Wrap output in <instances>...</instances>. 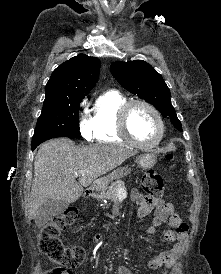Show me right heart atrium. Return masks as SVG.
<instances>
[{"instance_id": "1", "label": "right heart atrium", "mask_w": 221, "mask_h": 274, "mask_svg": "<svg viewBox=\"0 0 221 274\" xmlns=\"http://www.w3.org/2000/svg\"><path fill=\"white\" fill-rule=\"evenodd\" d=\"M84 105V103H83ZM79 128L81 135L86 140H91L93 137L92 121L86 113H83L80 117Z\"/></svg>"}]
</instances>
